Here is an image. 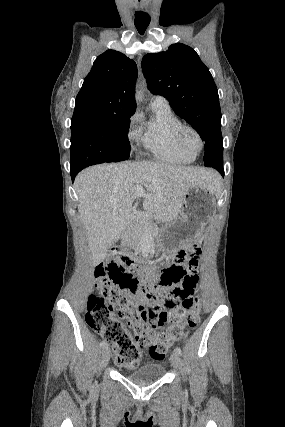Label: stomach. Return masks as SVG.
<instances>
[{
    "mask_svg": "<svg viewBox=\"0 0 285 427\" xmlns=\"http://www.w3.org/2000/svg\"><path fill=\"white\" fill-rule=\"evenodd\" d=\"M216 214V193L203 186H192L184 196L180 216L156 237L153 251L169 252L185 240H194Z\"/></svg>",
    "mask_w": 285,
    "mask_h": 427,
    "instance_id": "1",
    "label": "stomach"
}]
</instances>
